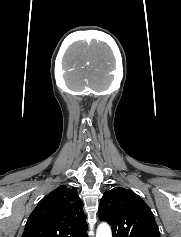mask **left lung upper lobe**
Wrapping results in <instances>:
<instances>
[{"mask_svg":"<svg viewBox=\"0 0 181 237\" xmlns=\"http://www.w3.org/2000/svg\"><path fill=\"white\" fill-rule=\"evenodd\" d=\"M98 216L111 225L113 237H160L151 209L130 189L114 187L106 191Z\"/></svg>","mask_w":181,"mask_h":237,"instance_id":"obj_1","label":"left lung upper lobe"}]
</instances>
